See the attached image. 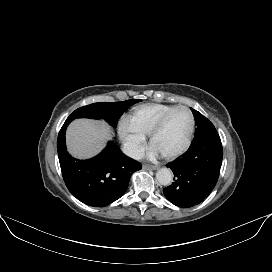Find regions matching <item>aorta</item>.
I'll use <instances>...</instances> for the list:
<instances>
[{"instance_id": "1", "label": "aorta", "mask_w": 272, "mask_h": 272, "mask_svg": "<svg viewBox=\"0 0 272 272\" xmlns=\"http://www.w3.org/2000/svg\"><path fill=\"white\" fill-rule=\"evenodd\" d=\"M156 179L159 184L168 186L172 182L173 173L169 168H161L156 173Z\"/></svg>"}]
</instances>
